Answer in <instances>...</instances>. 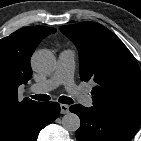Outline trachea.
<instances>
[{
	"mask_svg": "<svg viewBox=\"0 0 141 141\" xmlns=\"http://www.w3.org/2000/svg\"><path fill=\"white\" fill-rule=\"evenodd\" d=\"M32 98L35 100H39V101L50 100V96L45 95V94L34 95V96H32ZM58 101L60 103H64V104H72L73 103V100L70 97H66V96H61Z\"/></svg>",
	"mask_w": 141,
	"mask_h": 141,
	"instance_id": "3493384b",
	"label": "trachea"
}]
</instances>
